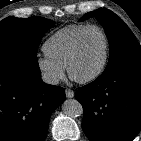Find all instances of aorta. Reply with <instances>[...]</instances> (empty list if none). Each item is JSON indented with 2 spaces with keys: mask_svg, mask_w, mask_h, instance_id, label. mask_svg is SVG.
Masks as SVG:
<instances>
[{
  "mask_svg": "<svg viewBox=\"0 0 141 141\" xmlns=\"http://www.w3.org/2000/svg\"><path fill=\"white\" fill-rule=\"evenodd\" d=\"M62 110L70 117H79L83 114V107L76 99H67L62 104Z\"/></svg>",
  "mask_w": 141,
  "mask_h": 141,
  "instance_id": "aorta-1",
  "label": "aorta"
}]
</instances>
